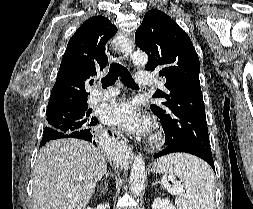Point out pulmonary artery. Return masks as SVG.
<instances>
[{
    "label": "pulmonary artery",
    "instance_id": "pulmonary-artery-1",
    "mask_svg": "<svg viewBox=\"0 0 253 209\" xmlns=\"http://www.w3.org/2000/svg\"><path fill=\"white\" fill-rule=\"evenodd\" d=\"M151 82V74L148 71H139L136 74V83L138 85H147ZM118 94V91L113 88L106 90L96 91L91 94L89 102L96 103L99 101H104L115 97Z\"/></svg>",
    "mask_w": 253,
    "mask_h": 209
}]
</instances>
